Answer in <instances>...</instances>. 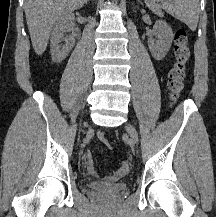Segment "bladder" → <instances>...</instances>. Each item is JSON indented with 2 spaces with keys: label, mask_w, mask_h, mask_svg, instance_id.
<instances>
[{
  "label": "bladder",
  "mask_w": 216,
  "mask_h": 217,
  "mask_svg": "<svg viewBox=\"0 0 216 217\" xmlns=\"http://www.w3.org/2000/svg\"><path fill=\"white\" fill-rule=\"evenodd\" d=\"M89 188L99 193H105L109 196H116L125 192V190L127 189V185L125 183H117V184L107 185V186L89 184Z\"/></svg>",
  "instance_id": "1"
}]
</instances>
